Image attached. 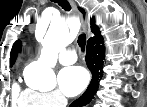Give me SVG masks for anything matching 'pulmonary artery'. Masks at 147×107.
I'll list each match as a JSON object with an SVG mask.
<instances>
[{
    "instance_id": "1",
    "label": "pulmonary artery",
    "mask_w": 147,
    "mask_h": 107,
    "mask_svg": "<svg viewBox=\"0 0 147 107\" xmlns=\"http://www.w3.org/2000/svg\"><path fill=\"white\" fill-rule=\"evenodd\" d=\"M76 60V53L72 49L64 50L59 55V62L63 65L73 64Z\"/></svg>"
}]
</instances>
